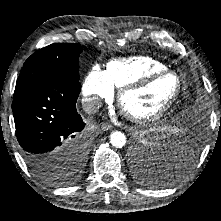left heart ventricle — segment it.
<instances>
[{
  "instance_id": "b2bd125f",
  "label": "left heart ventricle",
  "mask_w": 221,
  "mask_h": 221,
  "mask_svg": "<svg viewBox=\"0 0 221 221\" xmlns=\"http://www.w3.org/2000/svg\"><path fill=\"white\" fill-rule=\"evenodd\" d=\"M175 89V79L171 76H164L154 80L143 89L127 94L123 103L125 108L133 114H152L170 100Z\"/></svg>"
}]
</instances>
